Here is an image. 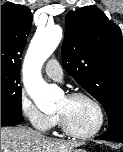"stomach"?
Masks as SVG:
<instances>
[{"label":"stomach","mask_w":123,"mask_h":152,"mask_svg":"<svg viewBox=\"0 0 123 152\" xmlns=\"http://www.w3.org/2000/svg\"><path fill=\"white\" fill-rule=\"evenodd\" d=\"M70 152H87L84 149H72Z\"/></svg>","instance_id":"stomach-1"}]
</instances>
